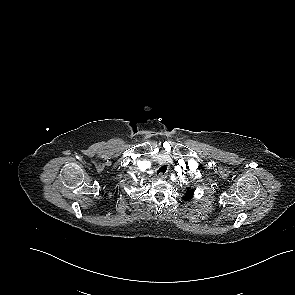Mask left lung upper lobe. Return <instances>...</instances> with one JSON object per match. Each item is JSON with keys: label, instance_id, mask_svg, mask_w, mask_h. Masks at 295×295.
Segmentation results:
<instances>
[{"label": "left lung upper lobe", "instance_id": "1", "mask_svg": "<svg viewBox=\"0 0 295 295\" xmlns=\"http://www.w3.org/2000/svg\"><path fill=\"white\" fill-rule=\"evenodd\" d=\"M188 189L189 190L187 191V193L185 194V196H183V199L184 200H190L193 197L194 190L193 189H190V188H188Z\"/></svg>", "mask_w": 295, "mask_h": 295}]
</instances>
